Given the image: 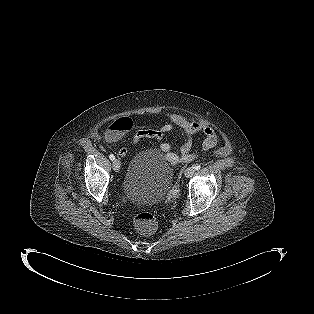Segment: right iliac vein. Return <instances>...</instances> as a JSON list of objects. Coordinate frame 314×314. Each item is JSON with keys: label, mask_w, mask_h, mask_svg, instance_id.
I'll list each match as a JSON object with an SVG mask.
<instances>
[{"label": "right iliac vein", "mask_w": 314, "mask_h": 314, "mask_svg": "<svg viewBox=\"0 0 314 314\" xmlns=\"http://www.w3.org/2000/svg\"><path fill=\"white\" fill-rule=\"evenodd\" d=\"M120 161L118 159L113 160V169L115 172H119L120 170Z\"/></svg>", "instance_id": "1"}]
</instances>
